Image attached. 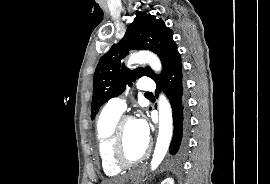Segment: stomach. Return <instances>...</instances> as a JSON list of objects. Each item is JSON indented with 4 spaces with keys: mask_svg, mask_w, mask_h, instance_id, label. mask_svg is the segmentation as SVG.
<instances>
[{
    "mask_svg": "<svg viewBox=\"0 0 270 184\" xmlns=\"http://www.w3.org/2000/svg\"><path fill=\"white\" fill-rule=\"evenodd\" d=\"M140 177H141V173L138 172V173L134 174L133 179H134V181H138Z\"/></svg>",
    "mask_w": 270,
    "mask_h": 184,
    "instance_id": "stomach-1",
    "label": "stomach"
}]
</instances>
